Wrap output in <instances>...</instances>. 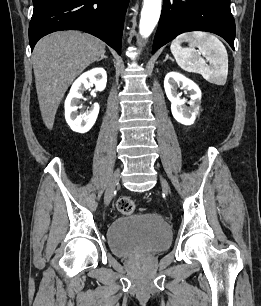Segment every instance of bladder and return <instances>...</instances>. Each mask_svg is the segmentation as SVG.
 <instances>
[{
	"label": "bladder",
	"instance_id": "1",
	"mask_svg": "<svg viewBox=\"0 0 261 306\" xmlns=\"http://www.w3.org/2000/svg\"><path fill=\"white\" fill-rule=\"evenodd\" d=\"M171 240L168 223L151 213L119 217L107 230L109 248L120 257L160 252L170 246Z\"/></svg>",
	"mask_w": 261,
	"mask_h": 306
}]
</instances>
